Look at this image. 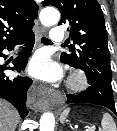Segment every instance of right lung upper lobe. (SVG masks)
I'll use <instances>...</instances> for the list:
<instances>
[{
    "label": "right lung upper lobe",
    "mask_w": 117,
    "mask_h": 131,
    "mask_svg": "<svg viewBox=\"0 0 117 131\" xmlns=\"http://www.w3.org/2000/svg\"><path fill=\"white\" fill-rule=\"evenodd\" d=\"M37 10L33 0H0V49L32 33Z\"/></svg>",
    "instance_id": "1"
}]
</instances>
